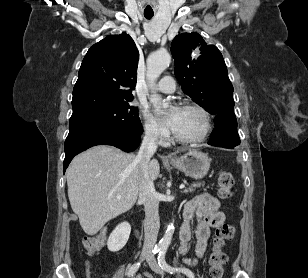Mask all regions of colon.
<instances>
[{
	"label": "colon",
	"mask_w": 308,
	"mask_h": 278,
	"mask_svg": "<svg viewBox=\"0 0 308 278\" xmlns=\"http://www.w3.org/2000/svg\"><path fill=\"white\" fill-rule=\"evenodd\" d=\"M234 186V178L228 171H221L218 175L219 196L222 199H228L232 195ZM234 229L229 224H222L216 230L214 244L209 255V274L211 278H222L224 273V265L227 260V255L224 252V247L227 242L232 239ZM112 231L108 227L101 230L99 235L83 238V247L89 253L96 252L100 246L105 247L107 242L104 237H111Z\"/></svg>",
	"instance_id": "1"
}]
</instances>
